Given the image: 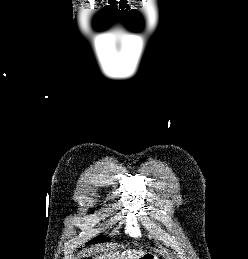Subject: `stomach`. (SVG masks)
Masks as SVG:
<instances>
[{"mask_svg": "<svg viewBox=\"0 0 248 259\" xmlns=\"http://www.w3.org/2000/svg\"><path fill=\"white\" fill-rule=\"evenodd\" d=\"M139 259H159L158 256L152 252H145Z\"/></svg>", "mask_w": 248, "mask_h": 259, "instance_id": "1", "label": "stomach"}]
</instances>
